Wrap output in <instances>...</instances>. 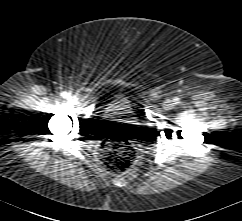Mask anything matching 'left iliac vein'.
<instances>
[{
  "label": "left iliac vein",
  "instance_id": "1",
  "mask_svg": "<svg viewBox=\"0 0 242 221\" xmlns=\"http://www.w3.org/2000/svg\"><path fill=\"white\" fill-rule=\"evenodd\" d=\"M166 103H167V105H170L171 102L170 101H167Z\"/></svg>",
  "mask_w": 242,
  "mask_h": 221
}]
</instances>
